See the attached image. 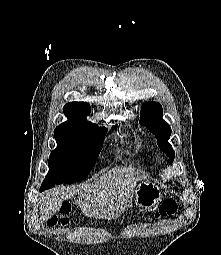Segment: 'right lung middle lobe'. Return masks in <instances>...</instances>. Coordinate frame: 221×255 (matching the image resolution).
Here are the masks:
<instances>
[{
  "mask_svg": "<svg viewBox=\"0 0 221 255\" xmlns=\"http://www.w3.org/2000/svg\"><path fill=\"white\" fill-rule=\"evenodd\" d=\"M107 129L86 131L57 127L54 136L57 148L49 159V173L42 186L73 183L87 178L102 148Z\"/></svg>",
  "mask_w": 221,
  "mask_h": 255,
  "instance_id": "dd1d6c3e",
  "label": "right lung middle lobe"
}]
</instances>
